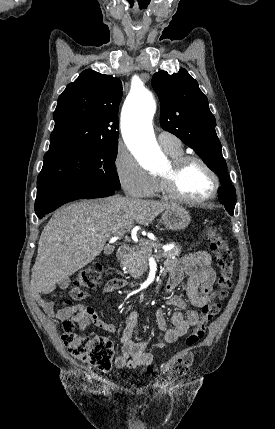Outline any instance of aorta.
Returning a JSON list of instances; mask_svg holds the SVG:
<instances>
[{
    "mask_svg": "<svg viewBox=\"0 0 275 429\" xmlns=\"http://www.w3.org/2000/svg\"><path fill=\"white\" fill-rule=\"evenodd\" d=\"M156 101L144 87L132 90L124 103L121 130L125 143L140 164L151 172L160 169L162 154L155 139L153 117Z\"/></svg>",
    "mask_w": 275,
    "mask_h": 429,
    "instance_id": "762f6f07",
    "label": "aorta"
}]
</instances>
